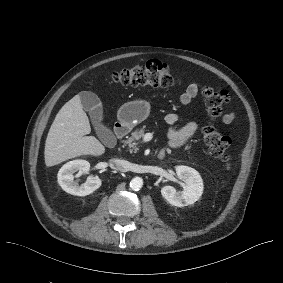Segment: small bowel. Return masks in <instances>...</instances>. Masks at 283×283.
I'll use <instances>...</instances> for the list:
<instances>
[{"instance_id": "c3829d8e", "label": "small bowel", "mask_w": 283, "mask_h": 283, "mask_svg": "<svg viewBox=\"0 0 283 283\" xmlns=\"http://www.w3.org/2000/svg\"><path fill=\"white\" fill-rule=\"evenodd\" d=\"M202 85L197 82H189L185 91L179 97V103L182 106L188 105L191 100L198 94ZM178 115L176 113H168L165 116V122L168 125L167 136L169 138V147L178 148L185 145L198 130L196 122H190L182 127H176L178 122ZM234 119V113L229 112L224 115L223 122L228 124Z\"/></svg>"}]
</instances>
